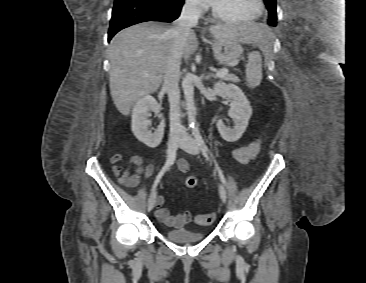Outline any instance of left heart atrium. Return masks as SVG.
Listing matches in <instances>:
<instances>
[{"label":"left heart atrium","mask_w":366,"mask_h":283,"mask_svg":"<svg viewBox=\"0 0 366 283\" xmlns=\"http://www.w3.org/2000/svg\"><path fill=\"white\" fill-rule=\"evenodd\" d=\"M205 1L213 3L215 0H205Z\"/></svg>","instance_id":"39dd6f15"}]
</instances>
